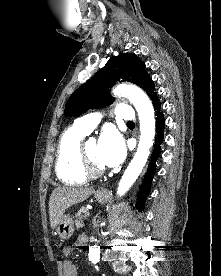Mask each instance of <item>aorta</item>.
Listing matches in <instances>:
<instances>
[{
  "label": "aorta",
  "instance_id": "762f6f07",
  "mask_svg": "<svg viewBox=\"0 0 221 276\" xmlns=\"http://www.w3.org/2000/svg\"><path fill=\"white\" fill-rule=\"evenodd\" d=\"M113 93L129 99L137 110L140 121V140L137 151L125 170L117 189V194L123 196L136 181L147 162L155 136V119L153 106L141 89L122 84L113 89ZM99 259V247L92 246L89 249V260L95 264Z\"/></svg>",
  "mask_w": 221,
  "mask_h": 276
}]
</instances>
